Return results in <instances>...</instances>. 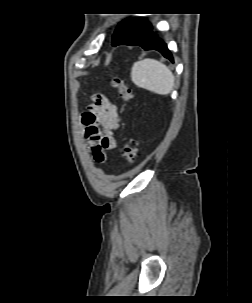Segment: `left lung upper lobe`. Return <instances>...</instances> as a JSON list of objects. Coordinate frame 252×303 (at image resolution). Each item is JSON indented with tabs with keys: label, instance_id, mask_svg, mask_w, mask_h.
I'll list each match as a JSON object with an SVG mask.
<instances>
[{
	"label": "left lung upper lobe",
	"instance_id": "5c2ea615",
	"mask_svg": "<svg viewBox=\"0 0 252 303\" xmlns=\"http://www.w3.org/2000/svg\"><path fill=\"white\" fill-rule=\"evenodd\" d=\"M140 21V17H134L119 23L113 34L112 45L115 46L120 40L128 35Z\"/></svg>",
	"mask_w": 252,
	"mask_h": 303
}]
</instances>
